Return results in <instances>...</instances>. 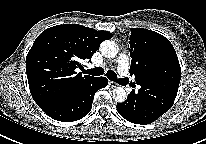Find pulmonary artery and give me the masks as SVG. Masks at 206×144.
Segmentation results:
<instances>
[{"mask_svg":"<svg viewBox=\"0 0 206 144\" xmlns=\"http://www.w3.org/2000/svg\"><path fill=\"white\" fill-rule=\"evenodd\" d=\"M118 70L121 76H127L129 71V58L126 54H121L117 59Z\"/></svg>","mask_w":206,"mask_h":144,"instance_id":"1","label":"pulmonary artery"}]
</instances>
